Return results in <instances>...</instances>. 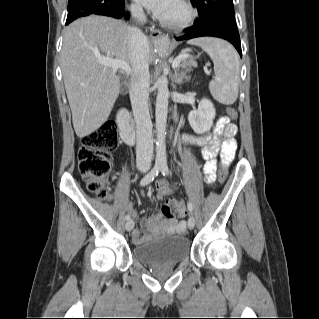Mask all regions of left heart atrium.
<instances>
[{
  "mask_svg": "<svg viewBox=\"0 0 319 319\" xmlns=\"http://www.w3.org/2000/svg\"><path fill=\"white\" fill-rule=\"evenodd\" d=\"M138 3L153 11L156 15L162 16L168 9L172 0H136Z\"/></svg>",
  "mask_w": 319,
  "mask_h": 319,
  "instance_id": "39dd6f15",
  "label": "left heart atrium"
}]
</instances>
